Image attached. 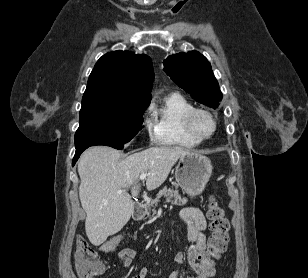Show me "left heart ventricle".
<instances>
[{"label":"left heart ventricle","instance_id":"b2bd125f","mask_svg":"<svg viewBox=\"0 0 308 278\" xmlns=\"http://www.w3.org/2000/svg\"><path fill=\"white\" fill-rule=\"evenodd\" d=\"M193 127L199 135L205 136L212 131L213 124L205 114H197L193 119Z\"/></svg>","mask_w":308,"mask_h":278}]
</instances>
